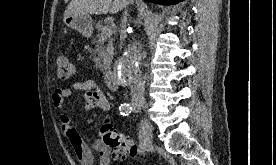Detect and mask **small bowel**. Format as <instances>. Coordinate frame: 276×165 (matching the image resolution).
I'll return each mask as SVG.
<instances>
[{
  "instance_id": "1",
  "label": "small bowel",
  "mask_w": 276,
  "mask_h": 165,
  "mask_svg": "<svg viewBox=\"0 0 276 165\" xmlns=\"http://www.w3.org/2000/svg\"><path fill=\"white\" fill-rule=\"evenodd\" d=\"M82 91L88 99V110L108 111L109 103L98 83L93 79L73 82L68 87H57L52 92V103L59 113V124L62 134L81 165H111L124 162L127 155L120 150H113L101 139L88 144L80 137L76 128L71 124L70 108L66 101L76 92ZM96 156L99 157L98 162Z\"/></svg>"
}]
</instances>
